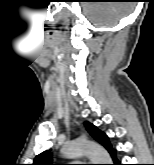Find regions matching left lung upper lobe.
<instances>
[{
	"label": "left lung upper lobe",
	"instance_id": "left-lung-upper-lobe-1",
	"mask_svg": "<svg viewBox=\"0 0 154 165\" xmlns=\"http://www.w3.org/2000/svg\"><path fill=\"white\" fill-rule=\"evenodd\" d=\"M85 126L88 132L90 133V135L95 140H97L99 143L105 146L111 154L114 152L108 141V137L103 132H101L91 123H86ZM32 165H54L52 163V153L49 150L40 153L35 157Z\"/></svg>",
	"mask_w": 154,
	"mask_h": 165
}]
</instances>
